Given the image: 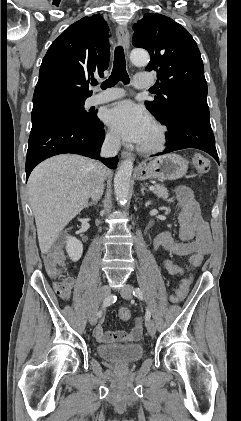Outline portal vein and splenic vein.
Segmentation results:
<instances>
[{"instance_id":"portal-vein-and-splenic-vein-1","label":"portal vein and splenic vein","mask_w":241,"mask_h":421,"mask_svg":"<svg viewBox=\"0 0 241 421\" xmlns=\"http://www.w3.org/2000/svg\"><path fill=\"white\" fill-rule=\"evenodd\" d=\"M149 189L153 191L155 188L154 186H150Z\"/></svg>"}]
</instances>
